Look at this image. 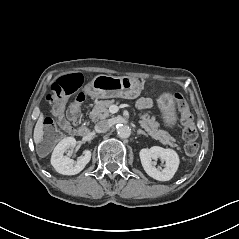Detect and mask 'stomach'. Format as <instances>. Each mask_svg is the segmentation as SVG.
<instances>
[{"label":"stomach","instance_id":"0dacf381","mask_svg":"<svg viewBox=\"0 0 239 239\" xmlns=\"http://www.w3.org/2000/svg\"><path fill=\"white\" fill-rule=\"evenodd\" d=\"M142 85L139 79L129 76L97 75L83 87V92L96 99L125 98L134 99L140 96ZM160 120L164 128L176 129L179 125V115L174 93L160 92L155 98Z\"/></svg>","mask_w":239,"mask_h":239}]
</instances>
